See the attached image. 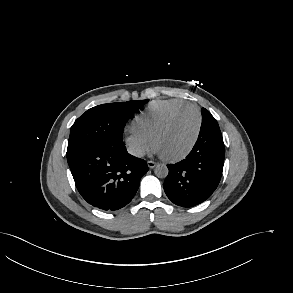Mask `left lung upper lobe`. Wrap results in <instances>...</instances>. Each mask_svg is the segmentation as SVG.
Here are the masks:
<instances>
[{"mask_svg":"<svg viewBox=\"0 0 293 293\" xmlns=\"http://www.w3.org/2000/svg\"><path fill=\"white\" fill-rule=\"evenodd\" d=\"M201 111H202V125L200 129V134L213 131V130L220 131L218 123L215 120V118L211 115V113L205 108H202Z\"/></svg>","mask_w":293,"mask_h":293,"instance_id":"obj_1","label":"left lung upper lobe"}]
</instances>
